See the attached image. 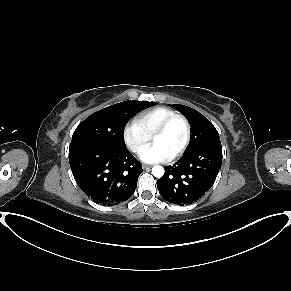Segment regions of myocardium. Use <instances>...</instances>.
<instances>
[{
    "label": "myocardium",
    "mask_w": 291,
    "mask_h": 291,
    "mask_svg": "<svg viewBox=\"0 0 291 291\" xmlns=\"http://www.w3.org/2000/svg\"><path fill=\"white\" fill-rule=\"evenodd\" d=\"M177 120H180L185 127V138L184 141L182 143V145L180 146V148L172 155L171 159H175L180 157L187 149L190 140H191V125L188 121V119L181 115V114H175L169 118H167L152 134V139L157 136V135H161L163 133H165L169 127Z\"/></svg>",
    "instance_id": "1"
}]
</instances>
